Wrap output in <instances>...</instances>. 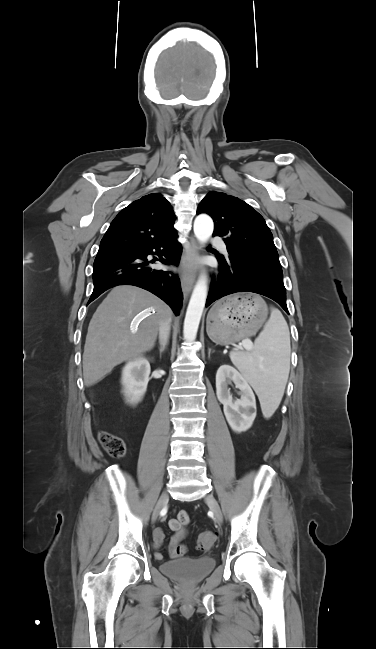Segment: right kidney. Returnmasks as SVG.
Instances as JSON below:
<instances>
[{
	"label": "right kidney",
	"instance_id": "1",
	"mask_svg": "<svg viewBox=\"0 0 376 649\" xmlns=\"http://www.w3.org/2000/svg\"><path fill=\"white\" fill-rule=\"evenodd\" d=\"M150 363L144 357L129 361L122 370L121 383L128 403L137 404L143 398L150 375Z\"/></svg>",
	"mask_w": 376,
	"mask_h": 649
}]
</instances>
